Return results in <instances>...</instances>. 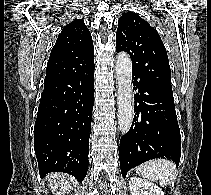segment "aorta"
Masks as SVG:
<instances>
[{"mask_svg":"<svg viewBox=\"0 0 211 195\" xmlns=\"http://www.w3.org/2000/svg\"><path fill=\"white\" fill-rule=\"evenodd\" d=\"M118 85V125L122 133L130 130L133 121L132 61L125 52L117 55L115 63Z\"/></svg>","mask_w":211,"mask_h":195,"instance_id":"obj_1","label":"aorta"}]
</instances>
